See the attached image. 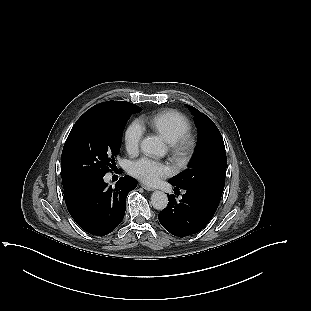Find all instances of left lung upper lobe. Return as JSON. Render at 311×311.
Wrapping results in <instances>:
<instances>
[{
    "mask_svg": "<svg viewBox=\"0 0 311 311\" xmlns=\"http://www.w3.org/2000/svg\"><path fill=\"white\" fill-rule=\"evenodd\" d=\"M200 141L189 168L174 176L169 183L182 189L197 190L220 201L225 184L226 152L222 135L214 122L192 106Z\"/></svg>",
    "mask_w": 311,
    "mask_h": 311,
    "instance_id": "1",
    "label": "left lung upper lobe"
}]
</instances>
